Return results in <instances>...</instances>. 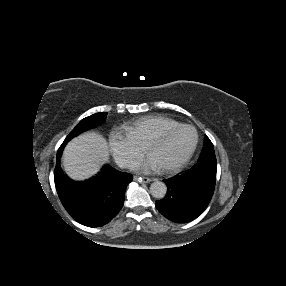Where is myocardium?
<instances>
[{
  "mask_svg": "<svg viewBox=\"0 0 286 286\" xmlns=\"http://www.w3.org/2000/svg\"><path fill=\"white\" fill-rule=\"evenodd\" d=\"M183 129H192L195 132V134H196L195 144L192 147V149L190 150V152L179 162L174 163V164H170V165L161 166V169L165 172L177 171V170L183 168L192 159V157L194 156V154L197 150L198 144H199V133H198L197 129L192 125L183 124V125H180L178 127L166 130V131L150 138L144 146L146 151L150 153V150L154 146L163 143L164 141L168 140L171 136L175 135L176 133H178L179 131H181Z\"/></svg>",
  "mask_w": 286,
  "mask_h": 286,
  "instance_id": "1",
  "label": "myocardium"
}]
</instances>
